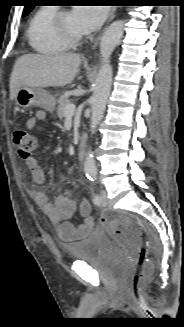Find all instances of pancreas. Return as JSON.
<instances>
[{"label": "pancreas", "mask_w": 184, "mask_h": 327, "mask_svg": "<svg viewBox=\"0 0 184 327\" xmlns=\"http://www.w3.org/2000/svg\"><path fill=\"white\" fill-rule=\"evenodd\" d=\"M71 101L69 100V98L65 95H62L59 97L58 99V107H57V115L59 117V119H64L65 116V107L70 104Z\"/></svg>", "instance_id": "cf45deb5"}]
</instances>
